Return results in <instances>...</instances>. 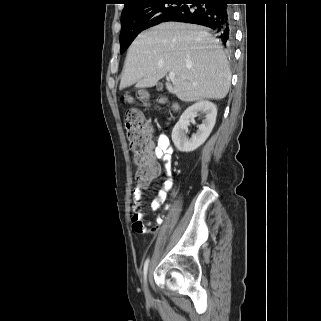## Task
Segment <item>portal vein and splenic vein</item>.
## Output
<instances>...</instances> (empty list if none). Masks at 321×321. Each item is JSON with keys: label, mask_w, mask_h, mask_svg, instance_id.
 <instances>
[{"label": "portal vein and splenic vein", "mask_w": 321, "mask_h": 321, "mask_svg": "<svg viewBox=\"0 0 321 321\" xmlns=\"http://www.w3.org/2000/svg\"><path fill=\"white\" fill-rule=\"evenodd\" d=\"M169 78H170L171 80H174V79H175V73L170 72V73H169Z\"/></svg>", "instance_id": "18ae733b"}]
</instances>
